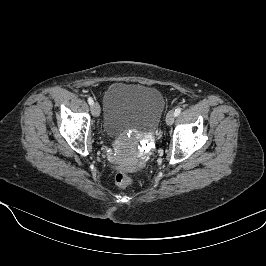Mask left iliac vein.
Returning <instances> with one entry per match:
<instances>
[{
	"mask_svg": "<svg viewBox=\"0 0 266 266\" xmlns=\"http://www.w3.org/2000/svg\"><path fill=\"white\" fill-rule=\"evenodd\" d=\"M175 120V114L173 111H169L166 115V124L167 125H172Z\"/></svg>",
	"mask_w": 266,
	"mask_h": 266,
	"instance_id": "obj_1",
	"label": "left iliac vein"
}]
</instances>
